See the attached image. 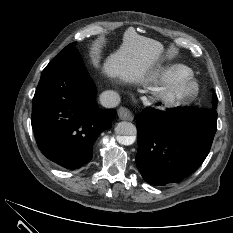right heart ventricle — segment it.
<instances>
[{"instance_id":"1","label":"right heart ventricle","mask_w":233,"mask_h":233,"mask_svg":"<svg viewBox=\"0 0 233 233\" xmlns=\"http://www.w3.org/2000/svg\"><path fill=\"white\" fill-rule=\"evenodd\" d=\"M192 76V70L182 64L170 65L158 73V81L161 85H171L184 78Z\"/></svg>"}]
</instances>
